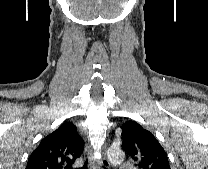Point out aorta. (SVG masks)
<instances>
[{
    "label": "aorta",
    "instance_id": "aorta-1",
    "mask_svg": "<svg viewBox=\"0 0 208 169\" xmlns=\"http://www.w3.org/2000/svg\"><path fill=\"white\" fill-rule=\"evenodd\" d=\"M123 152L119 148H110L108 151L109 160L114 163L118 164L123 160Z\"/></svg>",
    "mask_w": 208,
    "mask_h": 169
}]
</instances>
